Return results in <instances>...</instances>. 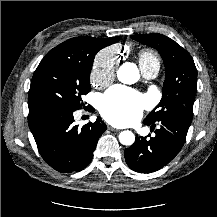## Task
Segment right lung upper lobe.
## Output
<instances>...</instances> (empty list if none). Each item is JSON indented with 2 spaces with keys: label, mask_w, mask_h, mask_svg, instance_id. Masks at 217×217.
<instances>
[{
  "label": "right lung upper lobe",
  "mask_w": 217,
  "mask_h": 217,
  "mask_svg": "<svg viewBox=\"0 0 217 217\" xmlns=\"http://www.w3.org/2000/svg\"><path fill=\"white\" fill-rule=\"evenodd\" d=\"M120 40V37L112 38H93L88 36H80L76 38L69 39L57 47L53 48V52H68V53H86L91 50V48H98L99 50L114 44Z\"/></svg>",
  "instance_id": "cb5924a9"
}]
</instances>
